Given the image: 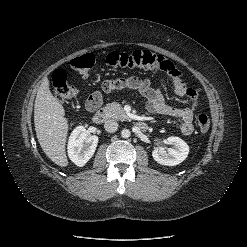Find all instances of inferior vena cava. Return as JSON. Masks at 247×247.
<instances>
[{"instance_id": "inferior-vena-cava-1", "label": "inferior vena cava", "mask_w": 247, "mask_h": 247, "mask_svg": "<svg viewBox=\"0 0 247 247\" xmlns=\"http://www.w3.org/2000/svg\"><path fill=\"white\" fill-rule=\"evenodd\" d=\"M104 128L107 132L113 133L118 129V123L115 120H107L104 124Z\"/></svg>"}]
</instances>
